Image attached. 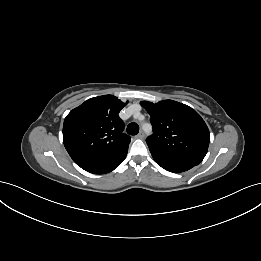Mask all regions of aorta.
I'll use <instances>...</instances> for the list:
<instances>
[{"mask_svg": "<svg viewBox=\"0 0 261 261\" xmlns=\"http://www.w3.org/2000/svg\"><path fill=\"white\" fill-rule=\"evenodd\" d=\"M147 127H150V126H149V125H147V124H146V125H144V126H143L144 130H146V129H147Z\"/></svg>", "mask_w": 261, "mask_h": 261, "instance_id": "1", "label": "aorta"}]
</instances>
